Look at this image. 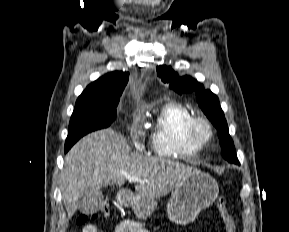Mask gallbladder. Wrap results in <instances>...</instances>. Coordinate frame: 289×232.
<instances>
[{
	"instance_id": "obj_1",
	"label": "gallbladder",
	"mask_w": 289,
	"mask_h": 232,
	"mask_svg": "<svg viewBox=\"0 0 289 232\" xmlns=\"http://www.w3.org/2000/svg\"><path fill=\"white\" fill-rule=\"evenodd\" d=\"M104 204V196L101 190L90 188L80 197L79 210L85 214H93L101 209Z\"/></svg>"
}]
</instances>
